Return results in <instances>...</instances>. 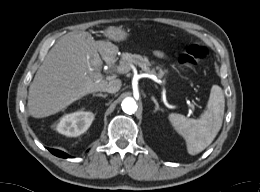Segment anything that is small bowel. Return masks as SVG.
I'll list each match as a JSON object with an SVG mask.
<instances>
[{
  "label": "small bowel",
  "instance_id": "1",
  "mask_svg": "<svg viewBox=\"0 0 260 192\" xmlns=\"http://www.w3.org/2000/svg\"><path fill=\"white\" fill-rule=\"evenodd\" d=\"M155 54H156V56H158L160 58H164L165 57L164 53L161 52V51H156Z\"/></svg>",
  "mask_w": 260,
  "mask_h": 192
}]
</instances>
